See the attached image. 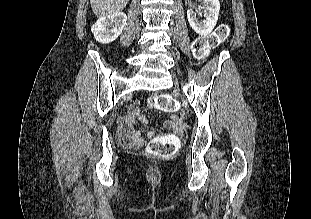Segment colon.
Returning <instances> with one entry per match:
<instances>
[{"label": "colon", "mask_w": 311, "mask_h": 219, "mask_svg": "<svg viewBox=\"0 0 311 219\" xmlns=\"http://www.w3.org/2000/svg\"><path fill=\"white\" fill-rule=\"evenodd\" d=\"M229 35V28L226 24H220L209 36L198 38L194 45L193 51L197 58H204L209 51L224 42ZM149 106L161 111L171 112L175 110V101L165 94L152 96L149 99ZM126 135V134H125ZM125 135L121 136L120 141L123 144L128 143ZM179 147V141L172 136L154 137L148 144V153L159 157H170L174 155Z\"/></svg>", "instance_id": "obj_1"}]
</instances>
